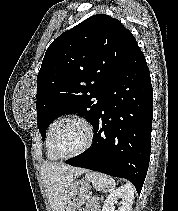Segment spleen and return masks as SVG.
Returning <instances> with one entry per match:
<instances>
[{
    "label": "spleen",
    "instance_id": "1",
    "mask_svg": "<svg viewBox=\"0 0 178 211\" xmlns=\"http://www.w3.org/2000/svg\"><path fill=\"white\" fill-rule=\"evenodd\" d=\"M85 178L90 181L93 187L97 190H103L109 193H113L115 191V180L100 172H88Z\"/></svg>",
    "mask_w": 178,
    "mask_h": 211
}]
</instances>
